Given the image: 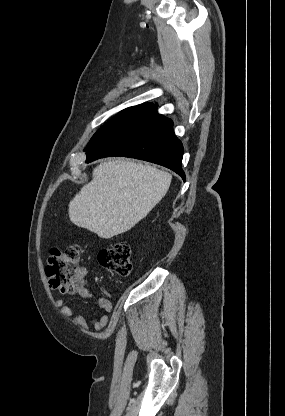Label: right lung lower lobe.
Listing matches in <instances>:
<instances>
[{
	"mask_svg": "<svg viewBox=\"0 0 285 416\" xmlns=\"http://www.w3.org/2000/svg\"><path fill=\"white\" fill-rule=\"evenodd\" d=\"M172 126L170 119L155 113L87 150L86 163L110 156L137 158L170 168L185 181L183 146Z\"/></svg>",
	"mask_w": 285,
	"mask_h": 416,
	"instance_id": "obj_1",
	"label": "right lung lower lobe"
}]
</instances>
